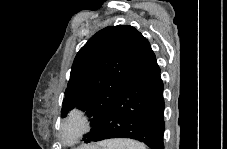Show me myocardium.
<instances>
[{
  "label": "myocardium",
  "instance_id": "1",
  "mask_svg": "<svg viewBox=\"0 0 227 149\" xmlns=\"http://www.w3.org/2000/svg\"><path fill=\"white\" fill-rule=\"evenodd\" d=\"M90 130V120L86 112L73 109L63 118L59 138L65 145L77 143Z\"/></svg>",
  "mask_w": 227,
  "mask_h": 149
}]
</instances>
